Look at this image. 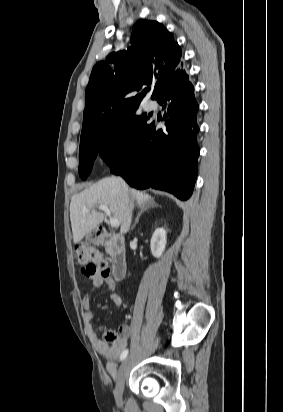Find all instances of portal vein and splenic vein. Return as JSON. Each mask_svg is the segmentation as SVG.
Wrapping results in <instances>:
<instances>
[{
  "label": "portal vein and splenic vein",
  "mask_w": 283,
  "mask_h": 412,
  "mask_svg": "<svg viewBox=\"0 0 283 412\" xmlns=\"http://www.w3.org/2000/svg\"><path fill=\"white\" fill-rule=\"evenodd\" d=\"M99 210L103 211L109 217V222L112 227H115V228L119 227L120 225L119 221L111 217V213L107 206H104V205L99 206ZM83 211L88 213L89 209L84 208Z\"/></svg>",
  "instance_id": "1"
}]
</instances>
